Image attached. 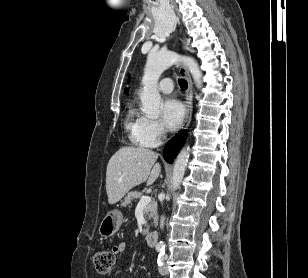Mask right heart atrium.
<instances>
[{"label":"right heart atrium","mask_w":308,"mask_h":278,"mask_svg":"<svg viewBox=\"0 0 308 278\" xmlns=\"http://www.w3.org/2000/svg\"><path fill=\"white\" fill-rule=\"evenodd\" d=\"M165 135V128L159 121L146 118L143 132V143L146 147L158 146Z\"/></svg>","instance_id":"right-heart-atrium-1"}]
</instances>
